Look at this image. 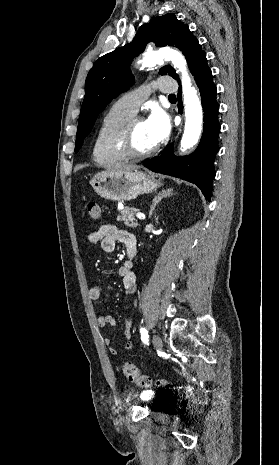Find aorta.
<instances>
[{
  "mask_svg": "<svg viewBox=\"0 0 279 465\" xmlns=\"http://www.w3.org/2000/svg\"><path fill=\"white\" fill-rule=\"evenodd\" d=\"M160 60H170L175 69L182 75V91L185 109V128L181 139V151H186L197 144L202 130V107L197 92L192 87L188 74L187 63L184 57L177 51L171 49L160 50L147 54L143 62L151 65Z\"/></svg>",
  "mask_w": 279,
  "mask_h": 465,
  "instance_id": "1",
  "label": "aorta"
}]
</instances>
